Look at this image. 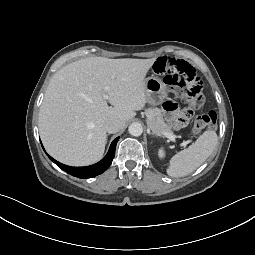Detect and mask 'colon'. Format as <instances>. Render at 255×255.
Returning a JSON list of instances; mask_svg holds the SVG:
<instances>
[{
    "instance_id": "5ec220e1",
    "label": "colon",
    "mask_w": 255,
    "mask_h": 255,
    "mask_svg": "<svg viewBox=\"0 0 255 255\" xmlns=\"http://www.w3.org/2000/svg\"><path fill=\"white\" fill-rule=\"evenodd\" d=\"M153 69L157 74L164 76L165 83L173 92L181 94L188 109L203 105L205 98L202 92V80L188 62L177 58L161 57L155 62ZM216 121V112L210 110L195 118L192 131L200 133L213 127Z\"/></svg>"
}]
</instances>
